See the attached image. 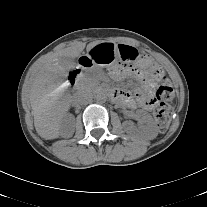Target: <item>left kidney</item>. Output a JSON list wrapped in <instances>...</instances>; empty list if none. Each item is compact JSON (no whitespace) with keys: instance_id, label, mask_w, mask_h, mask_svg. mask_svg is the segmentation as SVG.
<instances>
[{"instance_id":"obj_1","label":"left kidney","mask_w":207,"mask_h":207,"mask_svg":"<svg viewBox=\"0 0 207 207\" xmlns=\"http://www.w3.org/2000/svg\"><path fill=\"white\" fill-rule=\"evenodd\" d=\"M137 114L140 115L146 123L145 126L139 127L142 136L147 140H152L156 138V136L158 135V128L152 116L149 113L142 110H139ZM124 127L125 131L129 134H135L137 131L136 128L130 123H126Z\"/></svg>"}]
</instances>
